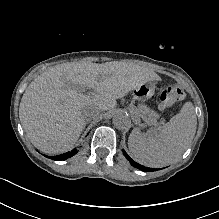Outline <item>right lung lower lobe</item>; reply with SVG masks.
Segmentation results:
<instances>
[{"label": "right lung lower lobe", "mask_w": 219, "mask_h": 219, "mask_svg": "<svg viewBox=\"0 0 219 219\" xmlns=\"http://www.w3.org/2000/svg\"><path fill=\"white\" fill-rule=\"evenodd\" d=\"M76 153H77V150H73L71 152H67V153H64V154H61V155L52 156L51 159H53V160H65L67 158L72 157Z\"/></svg>", "instance_id": "obj_1"}]
</instances>
